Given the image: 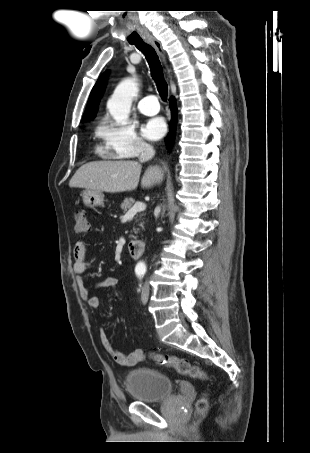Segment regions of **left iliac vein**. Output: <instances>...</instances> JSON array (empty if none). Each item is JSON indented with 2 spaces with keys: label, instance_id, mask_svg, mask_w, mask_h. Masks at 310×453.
Instances as JSON below:
<instances>
[{
  "label": "left iliac vein",
  "instance_id": "1",
  "mask_svg": "<svg viewBox=\"0 0 310 453\" xmlns=\"http://www.w3.org/2000/svg\"><path fill=\"white\" fill-rule=\"evenodd\" d=\"M149 298V286L145 285L142 289L141 293V301L143 304H145L148 301Z\"/></svg>",
  "mask_w": 310,
  "mask_h": 453
}]
</instances>
